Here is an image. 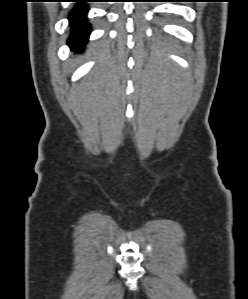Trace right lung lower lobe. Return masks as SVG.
<instances>
[{
  "mask_svg": "<svg viewBox=\"0 0 248 299\" xmlns=\"http://www.w3.org/2000/svg\"><path fill=\"white\" fill-rule=\"evenodd\" d=\"M77 2L71 9L69 14L70 27L72 34L68 39V45L73 50H80L88 41L91 25L87 19V13L89 11V0H73Z\"/></svg>",
  "mask_w": 248,
  "mask_h": 299,
  "instance_id": "right-lung-lower-lobe-1",
  "label": "right lung lower lobe"
}]
</instances>
